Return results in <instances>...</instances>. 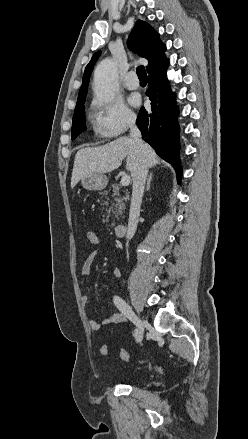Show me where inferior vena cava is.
Wrapping results in <instances>:
<instances>
[{"label":"inferior vena cava","instance_id":"obj_1","mask_svg":"<svg viewBox=\"0 0 248 439\" xmlns=\"http://www.w3.org/2000/svg\"><path fill=\"white\" fill-rule=\"evenodd\" d=\"M130 137L136 143L139 152H140V160L138 167L133 175V190H132V198L130 205V213H129V221H128V229L126 238L130 240L133 238L136 229L138 218L140 215V206L144 193L145 181L148 174L149 163L147 160V156L145 153L144 145L141 139V132L135 125V119H130Z\"/></svg>","mask_w":248,"mask_h":439}]
</instances>
